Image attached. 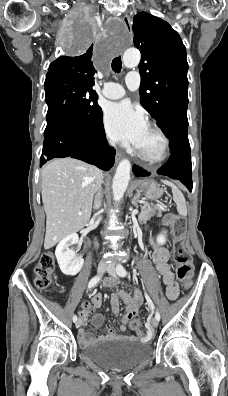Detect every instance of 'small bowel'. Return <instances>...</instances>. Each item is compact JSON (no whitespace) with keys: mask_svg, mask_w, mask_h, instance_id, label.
<instances>
[{"mask_svg":"<svg viewBox=\"0 0 228 396\" xmlns=\"http://www.w3.org/2000/svg\"><path fill=\"white\" fill-rule=\"evenodd\" d=\"M149 241L153 248L152 260L155 264L156 269L158 270V272L162 277L163 283L166 286V295L168 299L174 300L178 296L179 285L175 281L172 269L168 264L169 253L165 248L159 246L153 237H150ZM103 284L105 287H116L120 284V281L114 279H106ZM120 300L124 301L127 305V311L123 317V323L119 327L120 334H117L113 329H109L107 335L94 337L88 334L83 328H81L78 331V339L82 346H90L106 339H115V338L139 340V341L147 340V336L144 334L142 330H134L135 336L125 334L126 324L132 319H134V317L138 314L139 308L143 301V297L139 289H135L133 294H130L124 290H119L117 293L110 294V303L112 310L115 314L119 313ZM101 305H102V296L99 293L93 294L91 296V302H84L82 304V309L80 311L81 325H86L92 312L95 309L100 308ZM103 320L104 318L102 314L97 313L92 317V324L96 327L101 326Z\"/></svg>","mask_w":228,"mask_h":396,"instance_id":"1","label":"small bowel"}]
</instances>
